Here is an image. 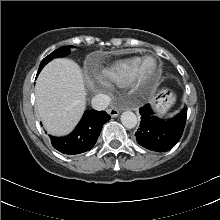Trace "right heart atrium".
<instances>
[{"label": "right heart atrium", "instance_id": "obj_1", "mask_svg": "<svg viewBox=\"0 0 220 220\" xmlns=\"http://www.w3.org/2000/svg\"><path fill=\"white\" fill-rule=\"evenodd\" d=\"M97 88L101 89V90H104V89L107 88V85L104 82L100 81V82L97 83Z\"/></svg>", "mask_w": 220, "mask_h": 220}]
</instances>
